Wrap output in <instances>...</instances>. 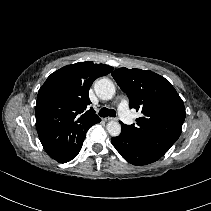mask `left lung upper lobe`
Returning a JSON list of instances; mask_svg holds the SVG:
<instances>
[{
    "instance_id": "left-lung-upper-lobe-1",
    "label": "left lung upper lobe",
    "mask_w": 211,
    "mask_h": 211,
    "mask_svg": "<svg viewBox=\"0 0 211 211\" xmlns=\"http://www.w3.org/2000/svg\"><path fill=\"white\" fill-rule=\"evenodd\" d=\"M112 76L127 94L130 108L143 114L136 125H124L151 152L162 157L181 134L186 116L182 99L168 80L151 71L119 68Z\"/></svg>"
}]
</instances>
